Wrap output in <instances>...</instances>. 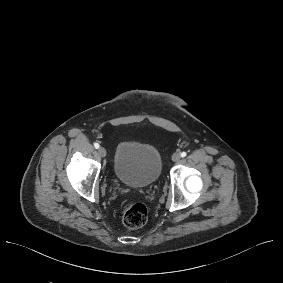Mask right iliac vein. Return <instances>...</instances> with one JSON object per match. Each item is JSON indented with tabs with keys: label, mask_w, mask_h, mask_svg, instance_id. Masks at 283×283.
Here are the masks:
<instances>
[{
	"label": "right iliac vein",
	"mask_w": 283,
	"mask_h": 283,
	"mask_svg": "<svg viewBox=\"0 0 283 283\" xmlns=\"http://www.w3.org/2000/svg\"><path fill=\"white\" fill-rule=\"evenodd\" d=\"M98 152L99 154L102 156V157H105L106 156V150L104 147H99L98 148Z\"/></svg>",
	"instance_id": "1"
}]
</instances>
